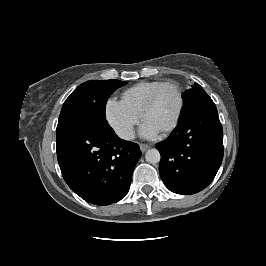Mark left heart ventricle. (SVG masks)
Instances as JSON below:
<instances>
[{
	"label": "left heart ventricle",
	"mask_w": 266,
	"mask_h": 266,
	"mask_svg": "<svg viewBox=\"0 0 266 266\" xmlns=\"http://www.w3.org/2000/svg\"><path fill=\"white\" fill-rule=\"evenodd\" d=\"M178 94L175 88H164L153 106L148 110L145 120L159 131L166 128L174 119L178 109Z\"/></svg>",
	"instance_id": "obj_1"
}]
</instances>
